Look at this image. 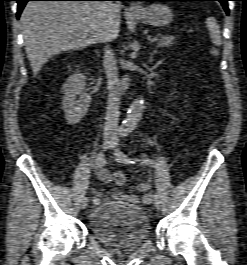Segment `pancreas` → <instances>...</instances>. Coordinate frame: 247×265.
Wrapping results in <instances>:
<instances>
[{
  "instance_id": "cf45deb5",
  "label": "pancreas",
  "mask_w": 247,
  "mask_h": 265,
  "mask_svg": "<svg viewBox=\"0 0 247 265\" xmlns=\"http://www.w3.org/2000/svg\"><path fill=\"white\" fill-rule=\"evenodd\" d=\"M173 44H175V37L164 35L160 37L157 47L158 48L171 47Z\"/></svg>"
}]
</instances>
